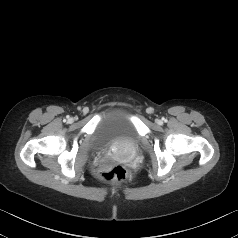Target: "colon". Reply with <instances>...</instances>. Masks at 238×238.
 I'll list each match as a JSON object with an SVG mask.
<instances>
[{"instance_id":"colon-1","label":"colon","mask_w":238,"mask_h":238,"mask_svg":"<svg viewBox=\"0 0 238 238\" xmlns=\"http://www.w3.org/2000/svg\"><path fill=\"white\" fill-rule=\"evenodd\" d=\"M127 176V169L120 164L104 167L98 172V178L101 181L109 183H120L124 181Z\"/></svg>"}]
</instances>
